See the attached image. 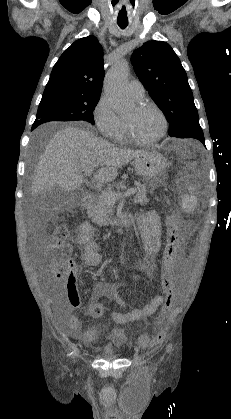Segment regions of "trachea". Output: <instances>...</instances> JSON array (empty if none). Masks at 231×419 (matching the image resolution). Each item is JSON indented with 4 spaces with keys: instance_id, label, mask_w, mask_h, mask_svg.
I'll list each match as a JSON object with an SVG mask.
<instances>
[{
    "instance_id": "3493384b",
    "label": "trachea",
    "mask_w": 231,
    "mask_h": 419,
    "mask_svg": "<svg viewBox=\"0 0 231 419\" xmlns=\"http://www.w3.org/2000/svg\"><path fill=\"white\" fill-rule=\"evenodd\" d=\"M117 23L121 29H125L128 25V23H124V22H117Z\"/></svg>"
}]
</instances>
